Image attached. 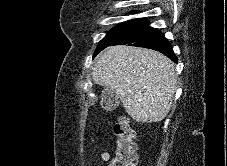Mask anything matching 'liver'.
<instances>
[{
    "instance_id": "liver-1",
    "label": "liver",
    "mask_w": 227,
    "mask_h": 166,
    "mask_svg": "<svg viewBox=\"0 0 227 166\" xmlns=\"http://www.w3.org/2000/svg\"><path fill=\"white\" fill-rule=\"evenodd\" d=\"M92 78L120 98L134 120L153 123L170 111L177 89L174 63L151 49L113 46L96 60Z\"/></svg>"
}]
</instances>
